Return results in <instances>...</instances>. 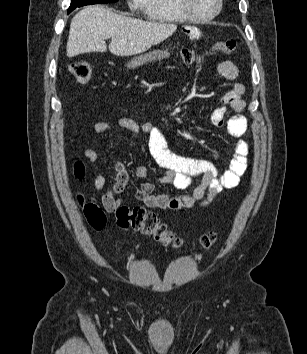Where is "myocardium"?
<instances>
[{
    "instance_id": "1",
    "label": "myocardium",
    "mask_w": 307,
    "mask_h": 354,
    "mask_svg": "<svg viewBox=\"0 0 307 354\" xmlns=\"http://www.w3.org/2000/svg\"><path fill=\"white\" fill-rule=\"evenodd\" d=\"M178 1V7L181 11V13L188 19L191 21H195V22H209L211 20H213L214 18H216L219 13L222 10L223 7V0H217V8L216 10L208 15V16H197L195 14L192 13V11L189 8V0H177Z\"/></svg>"
}]
</instances>
